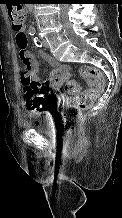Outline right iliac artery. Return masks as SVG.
<instances>
[{
	"label": "right iliac artery",
	"instance_id": "82829eb1",
	"mask_svg": "<svg viewBox=\"0 0 122 218\" xmlns=\"http://www.w3.org/2000/svg\"><path fill=\"white\" fill-rule=\"evenodd\" d=\"M36 33V30L34 28L29 29V34L34 35Z\"/></svg>",
	"mask_w": 122,
	"mask_h": 218
}]
</instances>
